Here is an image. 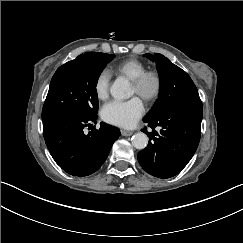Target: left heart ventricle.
I'll use <instances>...</instances> for the list:
<instances>
[{
    "label": "left heart ventricle",
    "instance_id": "left-heart-ventricle-1",
    "mask_svg": "<svg viewBox=\"0 0 243 243\" xmlns=\"http://www.w3.org/2000/svg\"><path fill=\"white\" fill-rule=\"evenodd\" d=\"M155 88V82L154 80H150L146 86V91L147 92H152ZM132 90H133V93H136V89L134 87V85H132Z\"/></svg>",
    "mask_w": 243,
    "mask_h": 243
}]
</instances>
